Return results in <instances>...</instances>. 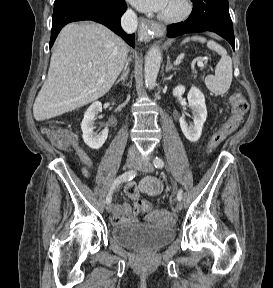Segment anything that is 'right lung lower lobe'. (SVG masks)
I'll list each match as a JSON object with an SVG mask.
<instances>
[{
	"label": "right lung lower lobe",
	"instance_id": "obj_1",
	"mask_svg": "<svg viewBox=\"0 0 273 288\" xmlns=\"http://www.w3.org/2000/svg\"><path fill=\"white\" fill-rule=\"evenodd\" d=\"M126 9L125 0H55L50 48L66 24L82 20H93L107 26L135 47L134 34L127 35L120 24Z\"/></svg>",
	"mask_w": 273,
	"mask_h": 288
}]
</instances>
